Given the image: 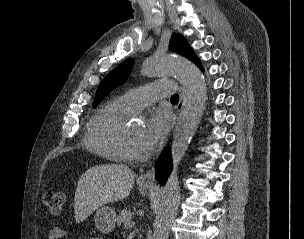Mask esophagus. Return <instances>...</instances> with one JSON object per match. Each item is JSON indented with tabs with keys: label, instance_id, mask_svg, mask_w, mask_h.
<instances>
[{
	"label": "esophagus",
	"instance_id": "34e87169",
	"mask_svg": "<svg viewBox=\"0 0 304 239\" xmlns=\"http://www.w3.org/2000/svg\"><path fill=\"white\" fill-rule=\"evenodd\" d=\"M180 99L176 107V112L180 113L184 105V89L182 86L179 87ZM154 171L153 168L148 169L144 174L139 177V182L143 184H153L154 183Z\"/></svg>",
	"mask_w": 304,
	"mask_h": 239
}]
</instances>
